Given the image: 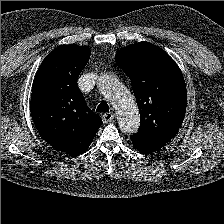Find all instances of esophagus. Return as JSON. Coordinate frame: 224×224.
<instances>
[{
	"mask_svg": "<svg viewBox=\"0 0 224 224\" xmlns=\"http://www.w3.org/2000/svg\"><path fill=\"white\" fill-rule=\"evenodd\" d=\"M115 115L112 112L105 113L102 115V120L104 123L111 122L114 119Z\"/></svg>",
	"mask_w": 224,
	"mask_h": 224,
	"instance_id": "1",
	"label": "esophagus"
}]
</instances>
